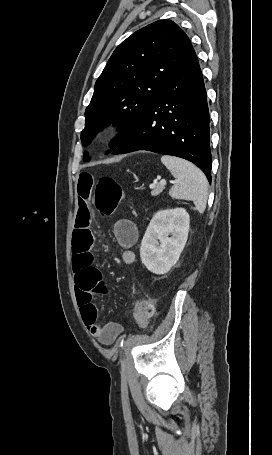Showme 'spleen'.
Returning a JSON list of instances; mask_svg holds the SVG:
<instances>
[{
    "label": "spleen",
    "mask_w": 272,
    "mask_h": 455,
    "mask_svg": "<svg viewBox=\"0 0 272 455\" xmlns=\"http://www.w3.org/2000/svg\"><path fill=\"white\" fill-rule=\"evenodd\" d=\"M161 162L177 180L169 195L174 199L193 201L196 210L202 214L208 198V182L204 173L192 163L178 157L164 155Z\"/></svg>",
    "instance_id": "3e777b00"
}]
</instances>
